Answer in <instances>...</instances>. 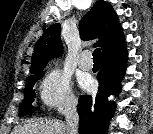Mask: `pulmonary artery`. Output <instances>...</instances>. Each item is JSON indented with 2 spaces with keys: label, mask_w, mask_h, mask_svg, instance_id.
Returning a JSON list of instances; mask_svg holds the SVG:
<instances>
[{
  "label": "pulmonary artery",
  "mask_w": 153,
  "mask_h": 134,
  "mask_svg": "<svg viewBox=\"0 0 153 134\" xmlns=\"http://www.w3.org/2000/svg\"><path fill=\"white\" fill-rule=\"evenodd\" d=\"M79 66L83 70H90L93 67V61L91 59V54L88 51H84L79 60Z\"/></svg>",
  "instance_id": "1"
}]
</instances>
